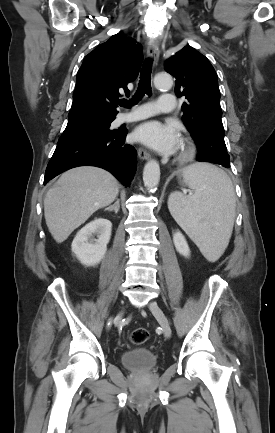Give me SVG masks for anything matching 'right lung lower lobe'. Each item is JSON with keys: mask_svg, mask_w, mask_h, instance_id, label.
<instances>
[{"mask_svg": "<svg viewBox=\"0 0 275 433\" xmlns=\"http://www.w3.org/2000/svg\"><path fill=\"white\" fill-rule=\"evenodd\" d=\"M127 130L111 133L81 130L63 133L45 172L44 185L60 173L78 166L110 171L126 187L136 171V150L125 143Z\"/></svg>", "mask_w": 275, "mask_h": 433, "instance_id": "1", "label": "right lung lower lobe"}]
</instances>
